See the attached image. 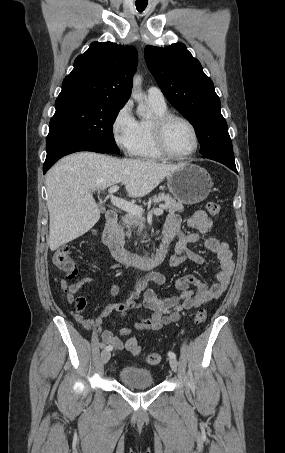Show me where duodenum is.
<instances>
[{"label":"duodenum","mask_w":285,"mask_h":453,"mask_svg":"<svg viewBox=\"0 0 285 453\" xmlns=\"http://www.w3.org/2000/svg\"><path fill=\"white\" fill-rule=\"evenodd\" d=\"M118 215L114 210L105 214V224L102 230V241L108 247L116 260L122 263L135 264L143 269L159 265L169 251V242L162 238L159 248L152 255H141L129 251L122 244L117 231Z\"/></svg>","instance_id":"1"}]
</instances>
